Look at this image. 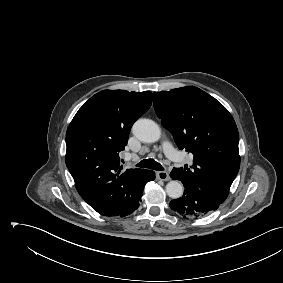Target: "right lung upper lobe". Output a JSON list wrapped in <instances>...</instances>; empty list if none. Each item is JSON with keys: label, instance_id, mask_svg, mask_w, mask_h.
Masks as SVG:
<instances>
[{"label": "right lung upper lobe", "instance_id": "obj_1", "mask_svg": "<svg viewBox=\"0 0 283 283\" xmlns=\"http://www.w3.org/2000/svg\"><path fill=\"white\" fill-rule=\"evenodd\" d=\"M151 103L150 91L104 90L82 105L67 129V168L78 193L102 215L118 216L142 195L147 170L122 171L119 152Z\"/></svg>", "mask_w": 283, "mask_h": 283}]
</instances>
